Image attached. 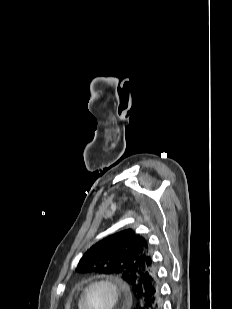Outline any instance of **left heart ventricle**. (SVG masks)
I'll list each match as a JSON object with an SVG mask.
<instances>
[{
	"label": "left heart ventricle",
	"instance_id": "b2bd125f",
	"mask_svg": "<svg viewBox=\"0 0 232 309\" xmlns=\"http://www.w3.org/2000/svg\"><path fill=\"white\" fill-rule=\"evenodd\" d=\"M112 298L106 288L92 287L86 295V309H108Z\"/></svg>",
	"mask_w": 232,
	"mask_h": 309
}]
</instances>
